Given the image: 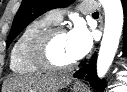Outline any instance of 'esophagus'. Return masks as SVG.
<instances>
[{
	"label": "esophagus",
	"instance_id": "1",
	"mask_svg": "<svg viewBox=\"0 0 127 92\" xmlns=\"http://www.w3.org/2000/svg\"><path fill=\"white\" fill-rule=\"evenodd\" d=\"M77 85H78V86H81V84H80V83H77Z\"/></svg>",
	"mask_w": 127,
	"mask_h": 92
}]
</instances>
